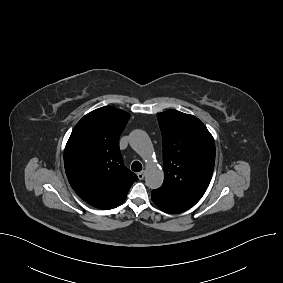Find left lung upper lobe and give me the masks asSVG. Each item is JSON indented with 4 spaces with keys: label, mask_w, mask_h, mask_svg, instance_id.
<instances>
[{
    "label": "left lung upper lobe",
    "mask_w": 283,
    "mask_h": 283,
    "mask_svg": "<svg viewBox=\"0 0 283 283\" xmlns=\"http://www.w3.org/2000/svg\"><path fill=\"white\" fill-rule=\"evenodd\" d=\"M163 140L164 183L157 190L183 211L205 193L215 164V142L195 116L175 110L157 114Z\"/></svg>",
    "instance_id": "1"
}]
</instances>
